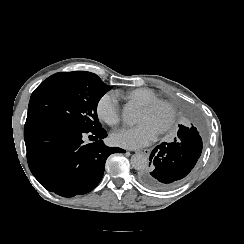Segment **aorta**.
Instances as JSON below:
<instances>
[{
	"label": "aorta",
	"mask_w": 244,
	"mask_h": 244,
	"mask_svg": "<svg viewBox=\"0 0 244 244\" xmlns=\"http://www.w3.org/2000/svg\"><path fill=\"white\" fill-rule=\"evenodd\" d=\"M122 118L127 125H133L136 120V113L132 105L126 104L123 108ZM131 166L140 171L148 166V158L146 155L136 153L131 157Z\"/></svg>",
	"instance_id": "762f6f07"
}]
</instances>
